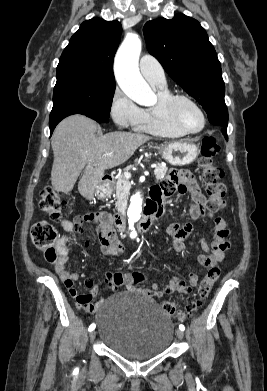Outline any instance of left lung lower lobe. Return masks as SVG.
I'll list each match as a JSON object with an SVG mask.
<instances>
[{
    "label": "left lung lower lobe",
    "instance_id": "1",
    "mask_svg": "<svg viewBox=\"0 0 267 391\" xmlns=\"http://www.w3.org/2000/svg\"><path fill=\"white\" fill-rule=\"evenodd\" d=\"M222 133L224 134L226 140L228 139L227 137V127H222Z\"/></svg>",
    "mask_w": 267,
    "mask_h": 391
}]
</instances>
